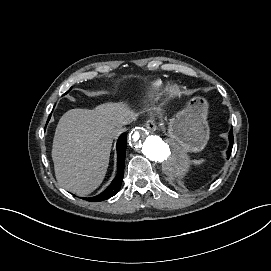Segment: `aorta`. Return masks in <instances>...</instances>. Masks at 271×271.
Returning a JSON list of instances; mask_svg holds the SVG:
<instances>
[{
  "mask_svg": "<svg viewBox=\"0 0 271 271\" xmlns=\"http://www.w3.org/2000/svg\"><path fill=\"white\" fill-rule=\"evenodd\" d=\"M129 145L149 160L160 163L169 176H181L188 171L193 161L189 159L190 149L183 143L165 141L159 136L150 135L143 127L134 128L129 134Z\"/></svg>",
  "mask_w": 271,
  "mask_h": 271,
  "instance_id": "obj_1",
  "label": "aorta"
}]
</instances>
